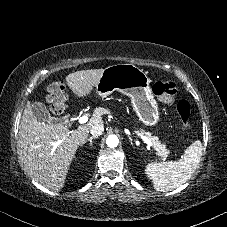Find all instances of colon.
Segmentation results:
<instances>
[{"instance_id":"1","label":"colon","mask_w":227,"mask_h":227,"mask_svg":"<svg viewBox=\"0 0 227 227\" xmlns=\"http://www.w3.org/2000/svg\"><path fill=\"white\" fill-rule=\"evenodd\" d=\"M50 110L55 116L61 115L66 106V92L64 85L59 81L51 82L47 87ZM152 91L161 101L172 103L177 95V87L171 81H159L152 86ZM176 112L184 128L190 127L191 106L186 100L176 105Z\"/></svg>"}]
</instances>
